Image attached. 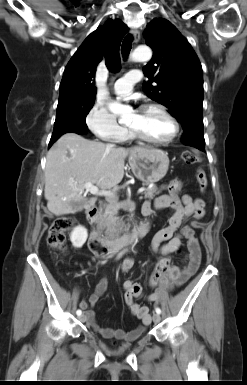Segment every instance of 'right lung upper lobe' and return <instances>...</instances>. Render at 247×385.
Wrapping results in <instances>:
<instances>
[{
	"mask_svg": "<svg viewBox=\"0 0 247 385\" xmlns=\"http://www.w3.org/2000/svg\"><path fill=\"white\" fill-rule=\"evenodd\" d=\"M128 27L121 20H109L98 27L82 43L68 62L60 85L59 96L95 97L94 77L98 63L105 58L112 71L120 68L119 47Z\"/></svg>",
	"mask_w": 247,
	"mask_h": 385,
	"instance_id": "obj_1",
	"label": "right lung upper lobe"
}]
</instances>
